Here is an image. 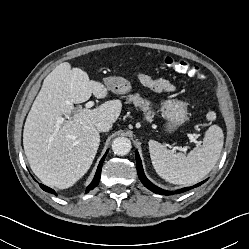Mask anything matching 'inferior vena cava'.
<instances>
[{
    "mask_svg": "<svg viewBox=\"0 0 249 249\" xmlns=\"http://www.w3.org/2000/svg\"><path fill=\"white\" fill-rule=\"evenodd\" d=\"M96 127L99 132H107L111 129L112 125L108 121L102 120L96 124Z\"/></svg>",
    "mask_w": 249,
    "mask_h": 249,
    "instance_id": "obj_1",
    "label": "inferior vena cava"
}]
</instances>
